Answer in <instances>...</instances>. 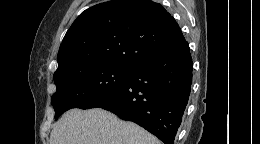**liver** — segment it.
I'll list each match as a JSON object with an SVG mask.
<instances>
[{"label": "liver", "instance_id": "1", "mask_svg": "<svg viewBox=\"0 0 260 144\" xmlns=\"http://www.w3.org/2000/svg\"><path fill=\"white\" fill-rule=\"evenodd\" d=\"M50 144H161L140 126L100 108L64 113L50 134Z\"/></svg>", "mask_w": 260, "mask_h": 144}]
</instances>
